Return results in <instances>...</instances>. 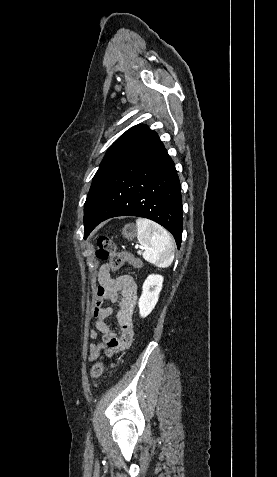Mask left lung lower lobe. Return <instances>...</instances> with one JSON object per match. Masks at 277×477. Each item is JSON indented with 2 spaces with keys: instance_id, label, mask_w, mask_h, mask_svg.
<instances>
[{
  "instance_id": "0a47b994",
  "label": "left lung lower lobe",
  "mask_w": 277,
  "mask_h": 477,
  "mask_svg": "<svg viewBox=\"0 0 277 477\" xmlns=\"http://www.w3.org/2000/svg\"><path fill=\"white\" fill-rule=\"evenodd\" d=\"M180 189L175 165L155 136L109 179L91 218L84 224V238L104 220L138 216L165 227L179 249L183 227Z\"/></svg>"
}]
</instances>
